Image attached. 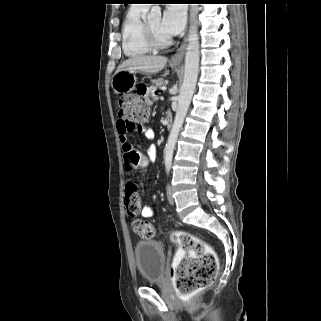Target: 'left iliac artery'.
Segmentation results:
<instances>
[{"label": "left iliac artery", "mask_w": 321, "mask_h": 321, "mask_svg": "<svg viewBox=\"0 0 321 321\" xmlns=\"http://www.w3.org/2000/svg\"><path fill=\"white\" fill-rule=\"evenodd\" d=\"M170 168H171V163H167V164H166L167 173H169Z\"/></svg>", "instance_id": "left-iliac-artery-1"}]
</instances>
